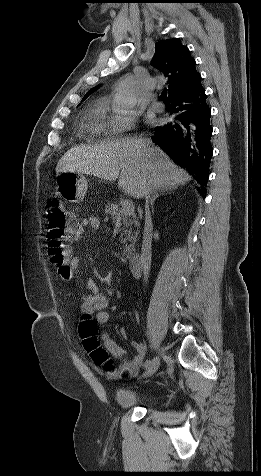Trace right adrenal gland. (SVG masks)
<instances>
[{
    "instance_id": "obj_1",
    "label": "right adrenal gland",
    "mask_w": 261,
    "mask_h": 476,
    "mask_svg": "<svg viewBox=\"0 0 261 476\" xmlns=\"http://www.w3.org/2000/svg\"><path fill=\"white\" fill-rule=\"evenodd\" d=\"M172 190H159V189H155L153 190V192L151 193V196L149 198H146V202H150V205H151V209H152V213H154V209H153V206H154V202L155 200L161 196V195H164V194H167V193H171Z\"/></svg>"
}]
</instances>
